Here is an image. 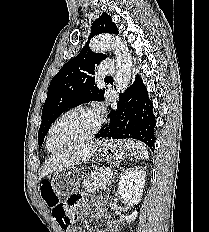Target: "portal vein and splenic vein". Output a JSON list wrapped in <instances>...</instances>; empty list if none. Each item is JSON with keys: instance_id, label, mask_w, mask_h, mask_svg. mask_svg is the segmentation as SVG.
I'll use <instances>...</instances> for the list:
<instances>
[{"instance_id": "obj_1", "label": "portal vein and splenic vein", "mask_w": 209, "mask_h": 232, "mask_svg": "<svg viewBox=\"0 0 209 232\" xmlns=\"http://www.w3.org/2000/svg\"><path fill=\"white\" fill-rule=\"evenodd\" d=\"M106 174H107L109 177H111V176H112L111 170H109Z\"/></svg>"}]
</instances>
